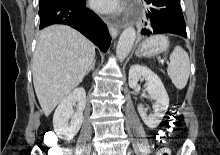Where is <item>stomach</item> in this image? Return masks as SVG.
Returning <instances> with one entry per match:
<instances>
[{
	"instance_id": "0dacf381",
	"label": "stomach",
	"mask_w": 220,
	"mask_h": 155,
	"mask_svg": "<svg viewBox=\"0 0 220 155\" xmlns=\"http://www.w3.org/2000/svg\"><path fill=\"white\" fill-rule=\"evenodd\" d=\"M169 48V40L165 35H155L141 43L137 54L139 56H155L166 52Z\"/></svg>"
}]
</instances>
